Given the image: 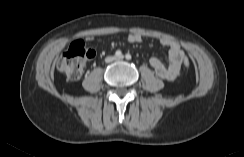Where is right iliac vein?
Returning <instances> with one entry per match:
<instances>
[{
    "label": "right iliac vein",
    "instance_id": "right-iliac-vein-1",
    "mask_svg": "<svg viewBox=\"0 0 244 157\" xmlns=\"http://www.w3.org/2000/svg\"><path fill=\"white\" fill-rule=\"evenodd\" d=\"M114 60V58L112 56H109L106 58V62H112Z\"/></svg>",
    "mask_w": 244,
    "mask_h": 157
}]
</instances>
